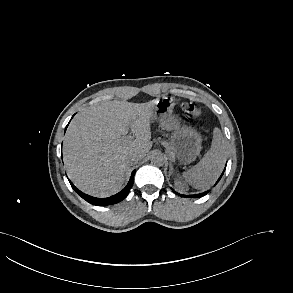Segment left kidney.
<instances>
[{
	"label": "left kidney",
	"instance_id": "1",
	"mask_svg": "<svg viewBox=\"0 0 293 293\" xmlns=\"http://www.w3.org/2000/svg\"><path fill=\"white\" fill-rule=\"evenodd\" d=\"M175 185L180 188H184V183L178 179L175 180Z\"/></svg>",
	"mask_w": 293,
	"mask_h": 293
}]
</instances>
